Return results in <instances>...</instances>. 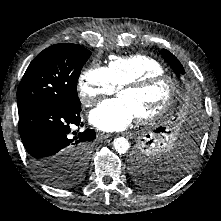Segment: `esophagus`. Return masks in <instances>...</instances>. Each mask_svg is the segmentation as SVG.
<instances>
[{
	"label": "esophagus",
	"instance_id": "34e87169",
	"mask_svg": "<svg viewBox=\"0 0 221 221\" xmlns=\"http://www.w3.org/2000/svg\"><path fill=\"white\" fill-rule=\"evenodd\" d=\"M99 136L101 138H109L111 135L110 134H107V133H100Z\"/></svg>",
	"mask_w": 221,
	"mask_h": 221
}]
</instances>
